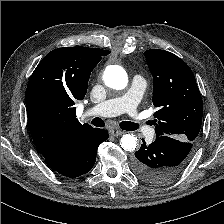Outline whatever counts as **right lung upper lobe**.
Returning <instances> with one entry per match:
<instances>
[{
  "instance_id": "cb5924a9",
  "label": "right lung upper lobe",
  "mask_w": 224,
  "mask_h": 224,
  "mask_svg": "<svg viewBox=\"0 0 224 224\" xmlns=\"http://www.w3.org/2000/svg\"><path fill=\"white\" fill-rule=\"evenodd\" d=\"M110 51L88 47L52 50L38 64L25 92L28 126L43 157L55 159L71 141L93 129L76 118V100L86 94L91 71Z\"/></svg>"
}]
</instances>
